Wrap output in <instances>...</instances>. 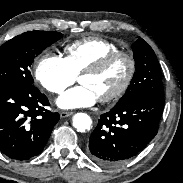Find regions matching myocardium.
Returning a JSON list of instances; mask_svg holds the SVG:
<instances>
[{
	"instance_id": "f54148a6",
	"label": "myocardium",
	"mask_w": 183,
	"mask_h": 183,
	"mask_svg": "<svg viewBox=\"0 0 183 183\" xmlns=\"http://www.w3.org/2000/svg\"><path fill=\"white\" fill-rule=\"evenodd\" d=\"M118 58H124L127 60L128 67H129L128 73L124 81L122 82V84L115 91H113L112 93L104 97L99 98V101L101 103L114 102L118 100L120 97H122L126 93V91L129 89L136 73V60L134 56L129 52L118 50L99 59L98 61H96L95 63H93L92 65H90L80 73V77L83 75H95L105 70Z\"/></svg>"
}]
</instances>
